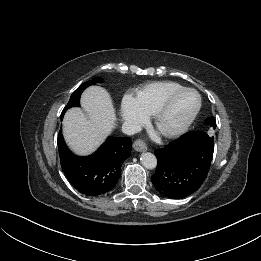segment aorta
Here are the masks:
<instances>
[{
	"label": "aorta",
	"mask_w": 261,
	"mask_h": 261,
	"mask_svg": "<svg viewBox=\"0 0 261 261\" xmlns=\"http://www.w3.org/2000/svg\"><path fill=\"white\" fill-rule=\"evenodd\" d=\"M141 164L147 169H154L157 166V158L154 154L142 153L140 158Z\"/></svg>",
	"instance_id": "obj_1"
}]
</instances>
